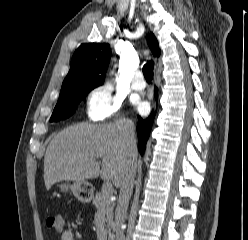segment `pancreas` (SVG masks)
Returning a JSON list of instances; mask_svg holds the SVG:
<instances>
[{"instance_id":"obj_1","label":"pancreas","mask_w":248,"mask_h":240,"mask_svg":"<svg viewBox=\"0 0 248 240\" xmlns=\"http://www.w3.org/2000/svg\"><path fill=\"white\" fill-rule=\"evenodd\" d=\"M110 196L105 195L103 192H97L94 199L93 205L97 208L98 211L102 212L106 216V233L108 235V240H113V233L111 232L114 229L113 221V209L114 205L109 200Z\"/></svg>"}]
</instances>
